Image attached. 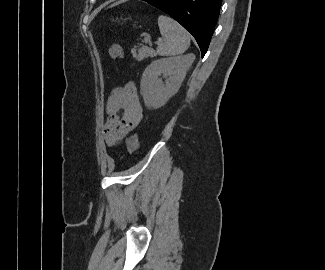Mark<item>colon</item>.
I'll use <instances>...</instances> for the list:
<instances>
[{"instance_id": "5ec220e1", "label": "colon", "mask_w": 325, "mask_h": 270, "mask_svg": "<svg viewBox=\"0 0 325 270\" xmlns=\"http://www.w3.org/2000/svg\"><path fill=\"white\" fill-rule=\"evenodd\" d=\"M109 55L112 59H121L124 57V50L122 46L118 44H114L109 49ZM138 135L135 133L132 136H130L127 140L126 146H127V152L132 153L134 152L138 147Z\"/></svg>"}]
</instances>
